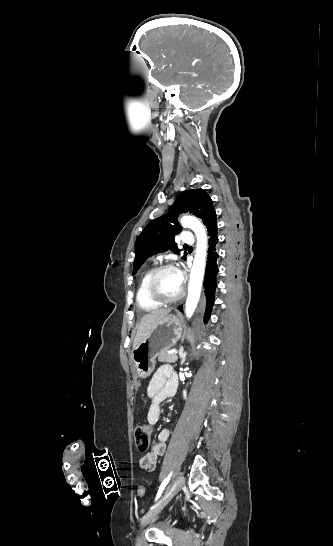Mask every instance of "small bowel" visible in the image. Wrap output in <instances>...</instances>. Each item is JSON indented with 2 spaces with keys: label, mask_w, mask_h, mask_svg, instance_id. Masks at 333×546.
Segmentation results:
<instances>
[{
  "label": "small bowel",
  "mask_w": 333,
  "mask_h": 546,
  "mask_svg": "<svg viewBox=\"0 0 333 546\" xmlns=\"http://www.w3.org/2000/svg\"><path fill=\"white\" fill-rule=\"evenodd\" d=\"M177 385L178 378L171 366L163 365L154 373L146 390L150 400L147 413L149 424L154 425L158 422L162 414V403L175 394ZM169 435L168 429L160 430L152 450L139 459V466L144 471L151 472L155 469L157 459L165 454Z\"/></svg>",
  "instance_id": "1"
}]
</instances>
